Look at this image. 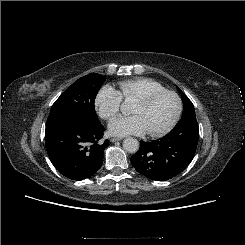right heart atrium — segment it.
<instances>
[{
    "label": "right heart atrium",
    "instance_id": "right-heart-atrium-1",
    "mask_svg": "<svg viewBox=\"0 0 245 245\" xmlns=\"http://www.w3.org/2000/svg\"><path fill=\"white\" fill-rule=\"evenodd\" d=\"M121 102L118 91L110 86H103L96 94L94 105L101 118L110 120L120 111Z\"/></svg>",
    "mask_w": 245,
    "mask_h": 245
}]
</instances>
